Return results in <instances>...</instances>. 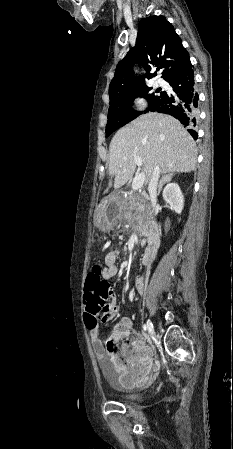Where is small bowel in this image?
Listing matches in <instances>:
<instances>
[{"label":"small bowel","mask_w":233,"mask_h":449,"mask_svg":"<svg viewBox=\"0 0 233 449\" xmlns=\"http://www.w3.org/2000/svg\"><path fill=\"white\" fill-rule=\"evenodd\" d=\"M119 256L120 252L117 249H113L105 255L104 267L102 268V277L104 280L110 281L118 274L119 267L117 262ZM147 278V273L142 272L135 282L134 288L139 295L144 289ZM103 295L108 299H112L114 293L110 287H107ZM85 301L87 300L84 298V303ZM103 309L105 310V314L101 316L100 323L111 321L118 311V307L110 302H105ZM98 329L99 327L88 328L93 351L102 369L105 372L115 374L121 384L126 387H138L146 382L150 378L151 371L155 366V356L153 349L145 343L144 337L133 333L134 343L128 348L121 349L122 357L125 360L123 362L120 357L111 355L105 349L99 337Z\"/></svg>","instance_id":"small-bowel-1"}]
</instances>
